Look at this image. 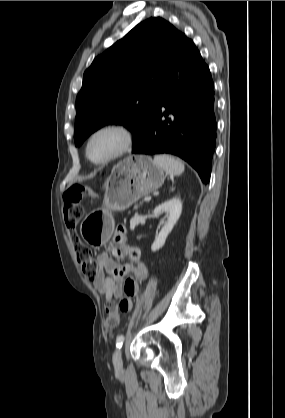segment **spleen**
<instances>
[{"label": "spleen", "instance_id": "3e777b00", "mask_svg": "<svg viewBox=\"0 0 285 418\" xmlns=\"http://www.w3.org/2000/svg\"><path fill=\"white\" fill-rule=\"evenodd\" d=\"M154 163L171 176L181 175L185 169L181 160L165 154L154 156Z\"/></svg>", "mask_w": 285, "mask_h": 418}]
</instances>
